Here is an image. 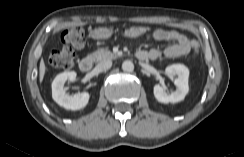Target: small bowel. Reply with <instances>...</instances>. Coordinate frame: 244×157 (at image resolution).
I'll return each mask as SVG.
<instances>
[{"label":"small bowel","instance_id":"small-bowel-1","mask_svg":"<svg viewBox=\"0 0 244 157\" xmlns=\"http://www.w3.org/2000/svg\"><path fill=\"white\" fill-rule=\"evenodd\" d=\"M145 37L156 42H172L171 45L165 47L163 50L156 48L150 49L149 51L140 50L138 53L145 55V59L155 60L161 55L169 58L180 57L187 55L191 50L190 39L186 35L174 30L157 29L149 32Z\"/></svg>","mask_w":244,"mask_h":157}]
</instances>
